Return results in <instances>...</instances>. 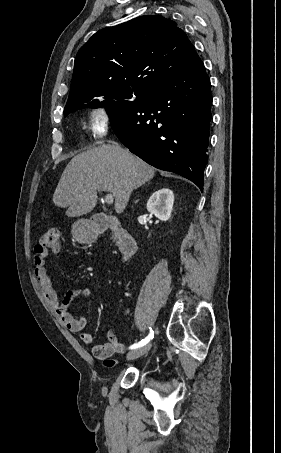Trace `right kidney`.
Listing matches in <instances>:
<instances>
[{
    "instance_id": "obj_1",
    "label": "right kidney",
    "mask_w": 281,
    "mask_h": 453,
    "mask_svg": "<svg viewBox=\"0 0 281 453\" xmlns=\"http://www.w3.org/2000/svg\"><path fill=\"white\" fill-rule=\"evenodd\" d=\"M174 202L173 190L160 188L151 194L147 202V210L155 214L160 220H168L171 216Z\"/></svg>"
}]
</instances>
